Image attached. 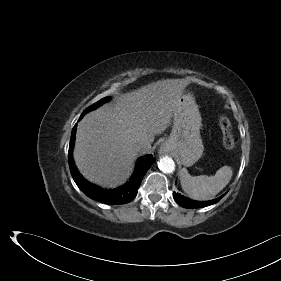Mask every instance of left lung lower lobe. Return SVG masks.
<instances>
[{
    "instance_id": "obj_1",
    "label": "left lung lower lobe",
    "mask_w": 281,
    "mask_h": 281,
    "mask_svg": "<svg viewBox=\"0 0 281 281\" xmlns=\"http://www.w3.org/2000/svg\"><path fill=\"white\" fill-rule=\"evenodd\" d=\"M224 195H222L221 197H219L217 199H214V200L194 201V200H191V199H189L187 197L182 196L181 194L173 192V198L175 199V201L180 206H182L184 208H201V207H206V206H209V205L217 203L222 197H224Z\"/></svg>"
}]
</instances>
